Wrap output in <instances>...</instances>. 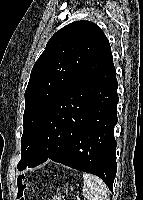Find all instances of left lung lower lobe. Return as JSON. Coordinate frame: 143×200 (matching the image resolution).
<instances>
[{"label":"left lung lower lobe","instance_id":"0a47b994","mask_svg":"<svg viewBox=\"0 0 143 200\" xmlns=\"http://www.w3.org/2000/svg\"><path fill=\"white\" fill-rule=\"evenodd\" d=\"M118 102L108 43L42 115L27 167L51 159L99 176L112 191L117 171L114 125Z\"/></svg>","mask_w":143,"mask_h":200}]
</instances>
